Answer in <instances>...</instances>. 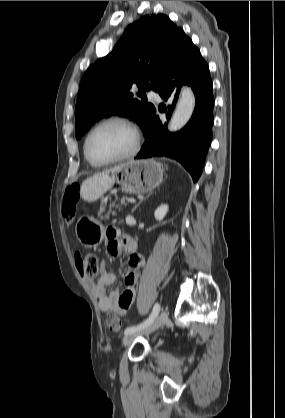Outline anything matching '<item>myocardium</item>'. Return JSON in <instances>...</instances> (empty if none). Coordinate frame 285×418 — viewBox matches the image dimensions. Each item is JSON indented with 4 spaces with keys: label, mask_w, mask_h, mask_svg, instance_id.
I'll return each instance as SVG.
<instances>
[{
    "label": "myocardium",
    "mask_w": 285,
    "mask_h": 418,
    "mask_svg": "<svg viewBox=\"0 0 285 418\" xmlns=\"http://www.w3.org/2000/svg\"><path fill=\"white\" fill-rule=\"evenodd\" d=\"M109 124H119L122 126H125L126 128H128L134 136V142H133V146L132 148L125 154L111 158V159H107V160H103V161H98V160H94L88 151V143L89 140L92 136V134L98 130L99 128L105 126V125H109ZM139 144H140V135H139V131L136 128V126L130 122L129 120L125 119V118H121V117H110V118H106L100 122H98L97 124H95L87 133L85 140H84V144H83V151H84V156L85 158L88 160V162L94 166H105V165H110V164H114L117 162H121V161H125L128 160L132 157H134L138 150H139Z\"/></svg>",
    "instance_id": "1"
}]
</instances>
